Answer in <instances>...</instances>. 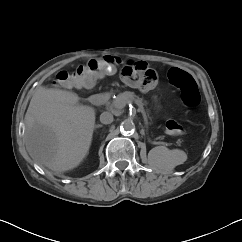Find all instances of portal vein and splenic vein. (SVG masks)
<instances>
[{
  "instance_id": "portal-vein-and-splenic-vein-1",
  "label": "portal vein and splenic vein",
  "mask_w": 242,
  "mask_h": 242,
  "mask_svg": "<svg viewBox=\"0 0 242 242\" xmlns=\"http://www.w3.org/2000/svg\"><path fill=\"white\" fill-rule=\"evenodd\" d=\"M138 112H141L142 115H143L144 120L147 121L146 113H145V111H144V109H143L142 107L139 106V108H138Z\"/></svg>"
}]
</instances>
